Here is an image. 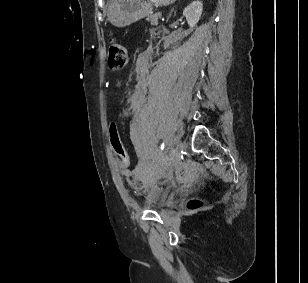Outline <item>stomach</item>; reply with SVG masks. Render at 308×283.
<instances>
[{"instance_id":"0dacf381","label":"stomach","mask_w":308,"mask_h":283,"mask_svg":"<svg viewBox=\"0 0 308 283\" xmlns=\"http://www.w3.org/2000/svg\"><path fill=\"white\" fill-rule=\"evenodd\" d=\"M175 0H111L107 9L109 22L116 27H126L148 16L153 6H164Z\"/></svg>"}]
</instances>
